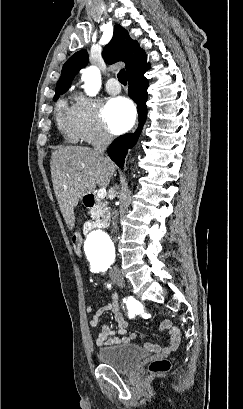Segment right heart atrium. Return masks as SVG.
I'll return each mask as SVG.
<instances>
[{
  "label": "right heart atrium",
  "mask_w": 243,
  "mask_h": 409,
  "mask_svg": "<svg viewBox=\"0 0 243 409\" xmlns=\"http://www.w3.org/2000/svg\"><path fill=\"white\" fill-rule=\"evenodd\" d=\"M73 126L78 140L86 143H104L110 140L99 115L97 104L78 94L72 106Z\"/></svg>",
  "instance_id": "obj_1"
}]
</instances>
